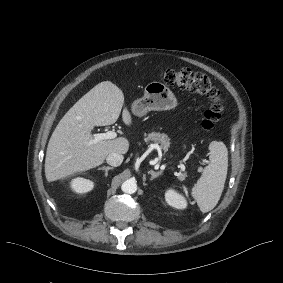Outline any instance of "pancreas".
<instances>
[{
    "instance_id": "1",
    "label": "pancreas",
    "mask_w": 283,
    "mask_h": 283,
    "mask_svg": "<svg viewBox=\"0 0 283 283\" xmlns=\"http://www.w3.org/2000/svg\"><path fill=\"white\" fill-rule=\"evenodd\" d=\"M145 142L152 141L154 144H158L160 149H162L164 152L168 151V148L170 147V138L165 133L160 132H151L148 135L144 134Z\"/></svg>"
}]
</instances>
